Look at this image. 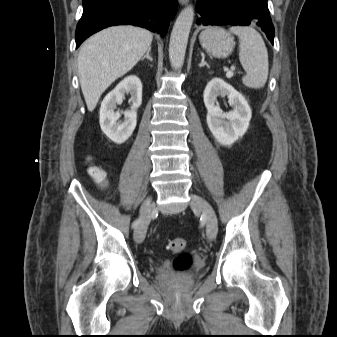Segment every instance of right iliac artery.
I'll return each mask as SVG.
<instances>
[{"label": "right iliac artery", "mask_w": 337, "mask_h": 337, "mask_svg": "<svg viewBox=\"0 0 337 337\" xmlns=\"http://www.w3.org/2000/svg\"><path fill=\"white\" fill-rule=\"evenodd\" d=\"M140 220L137 219L133 222L132 227L135 228L139 224Z\"/></svg>", "instance_id": "1"}]
</instances>
